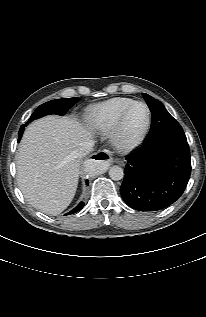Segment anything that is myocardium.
I'll list each match as a JSON object with an SVG mask.
<instances>
[{
    "label": "myocardium",
    "mask_w": 206,
    "mask_h": 317,
    "mask_svg": "<svg viewBox=\"0 0 206 317\" xmlns=\"http://www.w3.org/2000/svg\"><path fill=\"white\" fill-rule=\"evenodd\" d=\"M136 105H143L147 111L146 121L143 126L132 136L128 137L125 134L126 119L130 111ZM151 123V110L143 101H134L129 104L119 115L115 126L112 129L111 140L114 146L121 151H129L137 147L144 139Z\"/></svg>",
    "instance_id": "myocardium-1"
}]
</instances>
